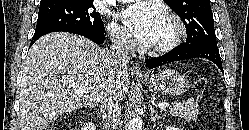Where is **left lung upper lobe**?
I'll return each mask as SVG.
<instances>
[{"instance_id":"1","label":"left lung upper lobe","mask_w":249,"mask_h":130,"mask_svg":"<svg viewBox=\"0 0 249 130\" xmlns=\"http://www.w3.org/2000/svg\"><path fill=\"white\" fill-rule=\"evenodd\" d=\"M183 20L187 38L184 45L217 46L210 0H164Z\"/></svg>"}]
</instances>
